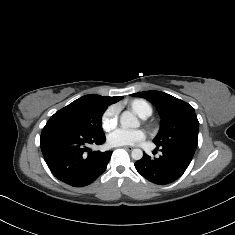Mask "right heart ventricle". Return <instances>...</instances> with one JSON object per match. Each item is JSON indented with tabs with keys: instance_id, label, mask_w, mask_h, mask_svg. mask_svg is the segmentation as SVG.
<instances>
[{
	"instance_id": "right-heart-ventricle-1",
	"label": "right heart ventricle",
	"mask_w": 235,
	"mask_h": 235,
	"mask_svg": "<svg viewBox=\"0 0 235 235\" xmlns=\"http://www.w3.org/2000/svg\"><path fill=\"white\" fill-rule=\"evenodd\" d=\"M130 107L142 118H147L152 114L151 105L143 99L131 101Z\"/></svg>"
}]
</instances>
